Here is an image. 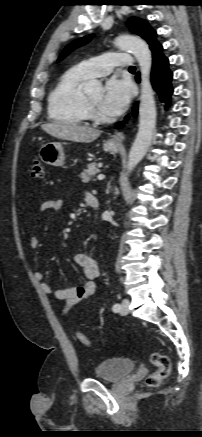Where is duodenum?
Here are the masks:
<instances>
[{
  "mask_svg": "<svg viewBox=\"0 0 202 437\" xmlns=\"http://www.w3.org/2000/svg\"><path fill=\"white\" fill-rule=\"evenodd\" d=\"M87 204H88L89 208L94 212V216H96V211L99 207L98 199L94 195L89 194L87 196Z\"/></svg>",
  "mask_w": 202,
  "mask_h": 437,
  "instance_id": "1",
  "label": "duodenum"
}]
</instances>
